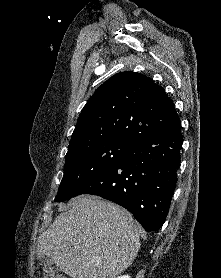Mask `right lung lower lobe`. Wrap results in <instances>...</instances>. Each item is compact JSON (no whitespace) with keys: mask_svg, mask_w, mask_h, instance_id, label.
Listing matches in <instances>:
<instances>
[{"mask_svg":"<svg viewBox=\"0 0 221 278\" xmlns=\"http://www.w3.org/2000/svg\"><path fill=\"white\" fill-rule=\"evenodd\" d=\"M183 138L176 128L132 141L112 166L75 193L101 196L129 210L147 231L165 222L174 193Z\"/></svg>","mask_w":221,"mask_h":278,"instance_id":"98d812e1","label":"right lung lower lobe"}]
</instances>
